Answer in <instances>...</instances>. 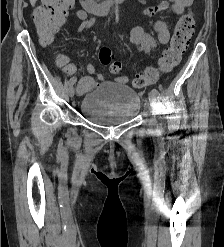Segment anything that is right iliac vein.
<instances>
[{
    "label": "right iliac vein",
    "mask_w": 224,
    "mask_h": 247,
    "mask_svg": "<svg viewBox=\"0 0 224 247\" xmlns=\"http://www.w3.org/2000/svg\"><path fill=\"white\" fill-rule=\"evenodd\" d=\"M69 97L72 98L75 94V88L73 86H70L68 90Z\"/></svg>",
    "instance_id": "1"
}]
</instances>
